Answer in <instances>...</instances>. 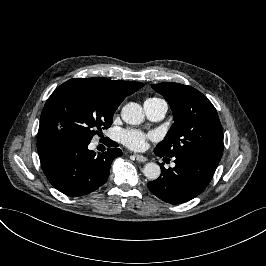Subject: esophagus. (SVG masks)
<instances>
[{
  "label": "esophagus",
  "mask_w": 266,
  "mask_h": 266,
  "mask_svg": "<svg viewBox=\"0 0 266 266\" xmlns=\"http://www.w3.org/2000/svg\"><path fill=\"white\" fill-rule=\"evenodd\" d=\"M134 156L138 162H146L147 161V158L141 154H134Z\"/></svg>",
  "instance_id": "esophagus-1"
}]
</instances>
